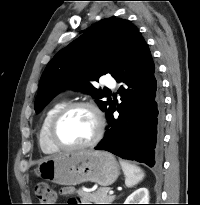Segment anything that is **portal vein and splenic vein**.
Returning <instances> with one entry per match:
<instances>
[{"mask_svg": "<svg viewBox=\"0 0 200 205\" xmlns=\"http://www.w3.org/2000/svg\"><path fill=\"white\" fill-rule=\"evenodd\" d=\"M109 194H110V195L114 194V191H113V190H110V191H109Z\"/></svg>", "mask_w": 200, "mask_h": 205, "instance_id": "18ae733b", "label": "portal vein and splenic vein"}]
</instances>
